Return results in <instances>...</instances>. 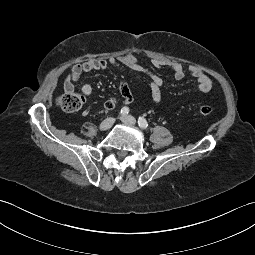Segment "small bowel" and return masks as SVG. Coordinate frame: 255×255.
Returning <instances> with one entry per match:
<instances>
[{"label":"small bowel","instance_id":"1","mask_svg":"<svg viewBox=\"0 0 255 255\" xmlns=\"http://www.w3.org/2000/svg\"><path fill=\"white\" fill-rule=\"evenodd\" d=\"M151 64L158 69H168L172 72L173 77L177 80L183 79L188 73L193 77L198 89L202 92H209L212 89V80L210 77L198 68H190L188 71L177 62L165 61L161 59H152ZM109 66L114 67L117 70H131L137 73L145 75L149 80L150 94L153 102L160 103L162 99V88L164 80L152 72L150 69L142 65L136 58L135 54L128 52L117 58H109L108 60H89L85 63L75 64L72 67L71 73L67 76L65 81V88H73L72 83L77 82L82 74L91 71L105 70ZM120 97L109 98L104 103V108L107 111L113 110L118 101L121 100L125 104H130L133 101V95L128 82L124 79L120 81L119 85ZM93 92V86L90 83H86L82 86V93L86 97H90Z\"/></svg>","mask_w":255,"mask_h":255}]
</instances>
